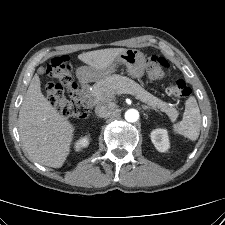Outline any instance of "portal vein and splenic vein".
<instances>
[{"mask_svg":"<svg viewBox=\"0 0 225 225\" xmlns=\"http://www.w3.org/2000/svg\"><path fill=\"white\" fill-rule=\"evenodd\" d=\"M123 93H126V94H132L131 92L129 91H124ZM133 95V94H132Z\"/></svg>","mask_w":225,"mask_h":225,"instance_id":"portal-vein-and-splenic-vein-1","label":"portal vein and splenic vein"}]
</instances>
